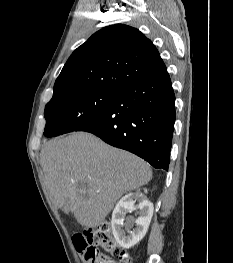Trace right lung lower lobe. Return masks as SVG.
<instances>
[{
  "instance_id": "right-lung-lower-lobe-1",
  "label": "right lung lower lobe",
  "mask_w": 233,
  "mask_h": 263,
  "mask_svg": "<svg viewBox=\"0 0 233 263\" xmlns=\"http://www.w3.org/2000/svg\"><path fill=\"white\" fill-rule=\"evenodd\" d=\"M175 95L168 72L118 91L108 107L75 131L95 134L155 168L168 170L175 122Z\"/></svg>"
}]
</instances>
